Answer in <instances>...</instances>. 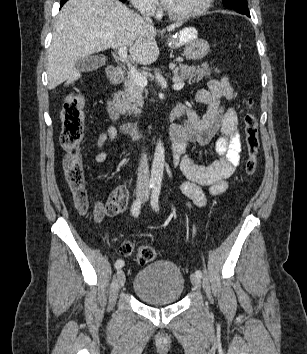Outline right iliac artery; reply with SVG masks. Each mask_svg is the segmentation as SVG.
<instances>
[{"label":"right iliac artery","mask_w":307,"mask_h":354,"mask_svg":"<svg viewBox=\"0 0 307 354\" xmlns=\"http://www.w3.org/2000/svg\"><path fill=\"white\" fill-rule=\"evenodd\" d=\"M152 187V185H150V188ZM140 208H141V200L137 199L133 202V205L131 207V213L134 217H138L139 213H140ZM124 261L122 259H119L115 262V268L116 269H120L124 266Z\"/></svg>","instance_id":"82829eb1"}]
</instances>
